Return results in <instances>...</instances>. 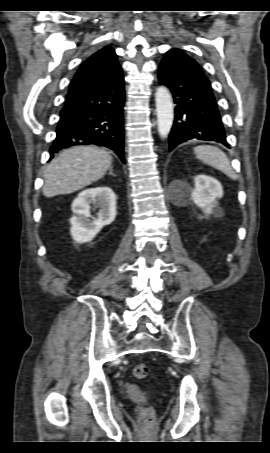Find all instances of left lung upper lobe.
Returning <instances> with one entry per match:
<instances>
[{
	"instance_id": "5c2ea615",
	"label": "left lung upper lobe",
	"mask_w": 270,
	"mask_h": 453,
	"mask_svg": "<svg viewBox=\"0 0 270 453\" xmlns=\"http://www.w3.org/2000/svg\"><path fill=\"white\" fill-rule=\"evenodd\" d=\"M171 53H182V54H185L184 52H182L179 49H171L167 54H171Z\"/></svg>"
}]
</instances>
